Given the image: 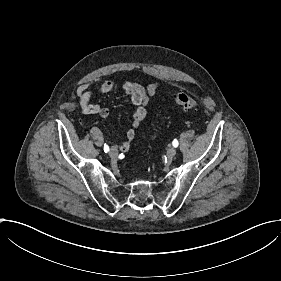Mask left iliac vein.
<instances>
[{"label":"left iliac vein","instance_id":"obj_1","mask_svg":"<svg viewBox=\"0 0 281 281\" xmlns=\"http://www.w3.org/2000/svg\"><path fill=\"white\" fill-rule=\"evenodd\" d=\"M176 152H177V149L175 147H170L167 150V155H168V157L173 158V157H175Z\"/></svg>","mask_w":281,"mask_h":281}]
</instances>
